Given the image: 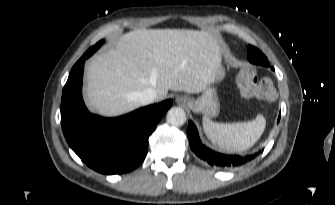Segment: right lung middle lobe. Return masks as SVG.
<instances>
[{"mask_svg": "<svg viewBox=\"0 0 335 205\" xmlns=\"http://www.w3.org/2000/svg\"><path fill=\"white\" fill-rule=\"evenodd\" d=\"M103 40L99 41L96 45L92 46L91 48L86 51V53L82 57L89 58L95 51H97L100 46L103 44Z\"/></svg>", "mask_w": 335, "mask_h": 205, "instance_id": "obj_1", "label": "right lung middle lobe"}]
</instances>
